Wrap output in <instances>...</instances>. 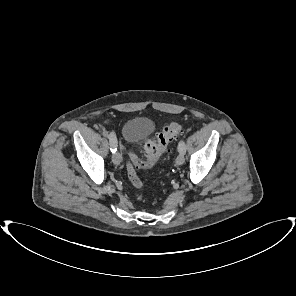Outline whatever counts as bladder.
<instances>
[{"label":"bladder","instance_id":"31cf9c89","mask_svg":"<svg viewBox=\"0 0 296 296\" xmlns=\"http://www.w3.org/2000/svg\"><path fill=\"white\" fill-rule=\"evenodd\" d=\"M154 130L153 122L143 116L128 119L122 127V136L129 144L137 143L147 138Z\"/></svg>","mask_w":296,"mask_h":296}]
</instances>
